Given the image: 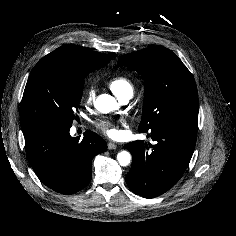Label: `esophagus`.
<instances>
[{"mask_svg": "<svg viewBox=\"0 0 236 236\" xmlns=\"http://www.w3.org/2000/svg\"><path fill=\"white\" fill-rule=\"evenodd\" d=\"M117 148V145L114 142H109L108 143V149L109 150H114Z\"/></svg>", "mask_w": 236, "mask_h": 236, "instance_id": "esophagus-1", "label": "esophagus"}]
</instances>
